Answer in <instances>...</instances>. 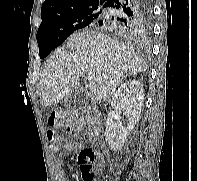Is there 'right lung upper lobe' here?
Masks as SVG:
<instances>
[{"label":"right lung upper lobe","instance_id":"obj_1","mask_svg":"<svg viewBox=\"0 0 197 181\" xmlns=\"http://www.w3.org/2000/svg\"><path fill=\"white\" fill-rule=\"evenodd\" d=\"M107 1L108 0H46L41 8V17L44 19L79 7L102 6Z\"/></svg>","mask_w":197,"mask_h":181}]
</instances>
